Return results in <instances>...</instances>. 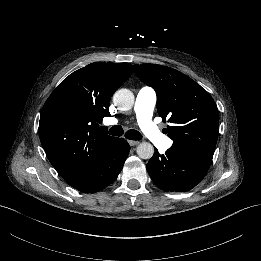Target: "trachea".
<instances>
[{
    "mask_svg": "<svg viewBox=\"0 0 261 261\" xmlns=\"http://www.w3.org/2000/svg\"><path fill=\"white\" fill-rule=\"evenodd\" d=\"M109 134L113 136H122L124 134V136L130 140H140L142 138V135L137 130L130 129L124 132L120 125L113 126L109 130Z\"/></svg>",
    "mask_w": 261,
    "mask_h": 261,
    "instance_id": "trachea-1",
    "label": "trachea"
}]
</instances>
